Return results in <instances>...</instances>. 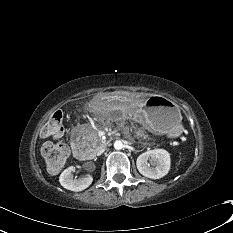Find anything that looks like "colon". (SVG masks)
I'll return each mask as SVG.
<instances>
[{
	"label": "colon",
	"mask_w": 233,
	"mask_h": 233,
	"mask_svg": "<svg viewBox=\"0 0 233 233\" xmlns=\"http://www.w3.org/2000/svg\"><path fill=\"white\" fill-rule=\"evenodd\" d=\"M63 112L60 110L52 113L43 127L42 133L45 136H56L63 131ZM42 154L50 171H59L68 157V147L62 141L45 142L42 145Z\"/></svg>",
	"instance_id": "obj_1"
}]
</instances>
